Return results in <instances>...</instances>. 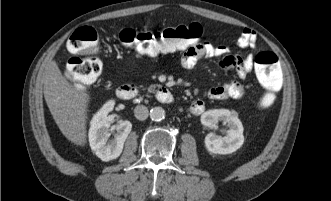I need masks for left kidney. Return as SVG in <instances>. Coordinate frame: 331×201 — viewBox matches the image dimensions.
Returning a JSON list of instances; mask_svg holds the SVG:
<instances>
[{
	"instance_id": "5707ae66",
	"label": "left kidney",
	"mask_w": 331,
	"mask_h": 201,
	"mask_svg": "<svg viewBox=\"0 0 331 201\" xmlns=\"http://www.w3.org/2000/svg\"><path fill=\"white\" fill-rule=\"evenodd\" d=\"M218 122L229 128L224 137L209 133L204 140L206 149L213 154H231L244 143L243 125L239 118L227 109L208 110L201 116V123L210 129H217Z\"/></svg>"
}]
</instances>
